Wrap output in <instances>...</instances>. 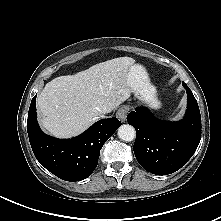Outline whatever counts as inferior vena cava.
Masks as SVG:
<instances>
[{"instance_id":"602c4592","label":"inferior vena cava","mask_w":221,"mask_h":221,"mask_svg":"<svg viewBox=\"0 0 221 221\" xmlns=\"http://www.w3.org/2000/svg\"><path fill=\"white\" fill-rule=\"evenodd\" d=\"M98 118H105V115L102 114Z\"/></svg>"}]
</instances>
